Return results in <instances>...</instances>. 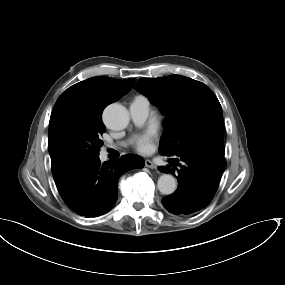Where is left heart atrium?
I'll return each instance as SVG.
<instances>
[{"instance_id":"39dd6f15","label":"left heart atrium","mask_w":285,"mask_h":285,"mask_svg":"<svg viewBox=\"0 0 285 285\" xmlns=\"http://www.w3.org/2000/svg\"><path fill=\"white\" fill-rule=\"evenodd\" d=\"M156 133L153 130L136 135L133 139L135 149L140 153H147L152 149Z\"/></svg>"}]
</instances>
